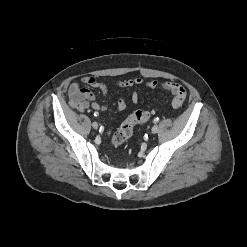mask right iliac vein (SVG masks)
I'll return each mask as SVG.
<instances>
[{"mask_svg":"<svg viewBox=\"0 0 247 247\" xmlns=\"http://www.w3.org/2000/svg\"><path fill=\"white\" fill-rule=\"evenodd\" d=\"M92 127H93L94 129H98V124H97V122H93V123H92Z\"/></svg>","mask_w":247,"mask_h":247,"instance_id":"right-iliac-vein-1","label":"right iliac vein"}]
</instances>
